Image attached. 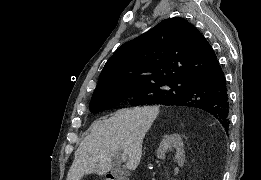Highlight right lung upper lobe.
<instances>
[{
    "mask_svg": "<svg viewBox=\"0 0 261 180\" xmlns=\"http://www.w3.org/2000/svg\"><path fill=\"white\" fill-rule=\"evenodd\" d=\"M217 63L211 45L192 24L180 17L169 18L115 51L92 99L161 80L188 81Z\"/></svg>",
    "mask_w": 261,
    "mask_h": 180,
    "instance_id": "1",
    "label": "right lung upper lobe"
}]
</instances>
